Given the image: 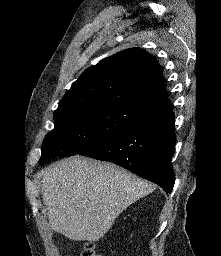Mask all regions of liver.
<instances>
[{
    "mask_svg": "<svg viewBox=\"0 0 221 256\" xmlns=\"http://www.w3.org/2000/svg\"><path fill=\"white\" fill-rule=\"evenodd\" d=\"M153 189L121 167L80 156L50 165L41 184L52 229L89 242L101 239L124 209Z\"/></svg>",
    "mask_w": 221,
    "mask_h": 256,
    "instance_id": "obj_1",
    "label": "liver"
}]
</instances>
